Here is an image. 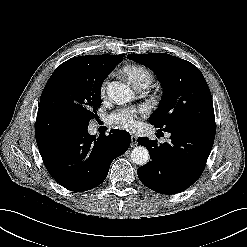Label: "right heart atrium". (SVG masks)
<instances>
[{
  "label": "right heart atrium",
  "instance_id": "1",
  "mask_svg": "<svg viewBox=\"0 0 247 247\" xmlns=\"http://www.w3.org/2000/svg\"><path fill=\"white\" fill-rule=\"evenodd\" d=\"M106 90V82H103L101 85V94H104Z\"/></svg>",
  "mask_w": 247,
  "mask_h": 247
}]
</instances>
